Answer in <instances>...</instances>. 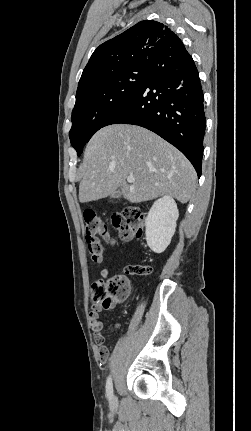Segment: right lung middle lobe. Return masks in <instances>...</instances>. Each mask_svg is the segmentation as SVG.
Listing matches in <instances>:
<instances>
[{
	"mask_svg": "<svg viewBox=\"0 0 251 431\" xmlns=\"http://www.w3.org/2000/svg\"><path fill=\"white\" fill-rule=\"evenodd\" d=\"M146 73L145 66L133 67L76 93L69 137L78 156L93 134L140 88Z\"/></svg>",
	"mask_w": 251,
	"mask_h": 431,
	"instance_id": "dd1d6c3e",
	"label": "right lung middle lobe"
}]
</instances>
